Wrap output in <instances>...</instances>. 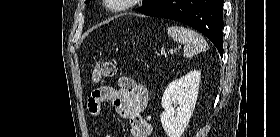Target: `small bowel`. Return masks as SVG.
Listing matches in <instances>:
<instances>
[{"label":"small bowel","instance_id":"1","mask_svg":"<svg viewBox=\"0 0 280 137\" xmlns=\"http://www.w3.org/2000/svg\"><path fill=\"white\" fill-rule=\"evenodd\" d=\"M118 88L101 86L90 92L88 110L98 117L104 103H112L116 114L125 119L133 137H148L150 125L142 117L147 103V88L134 78L122 75L117 80Z\"/></svg>","mask_w":280,"mask_h":137}]
</instances>
